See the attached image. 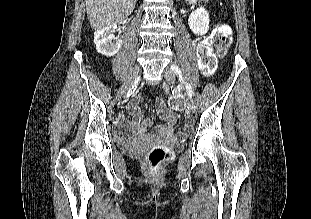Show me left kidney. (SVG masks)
<instances>
[{
  "label": "left kidney",
  "instance_id": "5707ae66",
  "mask_svg": "<svg viewBox=\"0 0 311 219\" xmlns=\"http://www.w3.org/2000/svg\"><path fill=\"white\" fill-rule=\"evenodd\" d=\"M209 13L200 7L193 11L188 19L190 30L196 35H205L209 30Z\"/></svg>",
  "mask_w": 311,
  "mask_h": 219
}]
</instances>
